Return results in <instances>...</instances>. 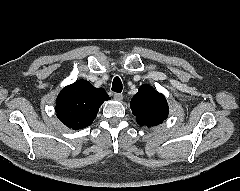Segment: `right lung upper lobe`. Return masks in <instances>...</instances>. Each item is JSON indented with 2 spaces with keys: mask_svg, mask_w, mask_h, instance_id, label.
<instances>
[{
  "mask_svg": "<svg viewBox=\"0 0 240 191\" xmlns=\"http://www.w3.org/2000/svg\"><path fill=\"white\" fill-rule=\"evenodd\" d=\"M110 99L103 88H95L86 80L66 86L56 100V113L67 127L78 130L92 124L101 104Z\"/></svg>",
  "mask_w": 240,
  "mask_h": 191,
  "instance_id": "right-lung-upper-lobe-1",
  "label": "right lung upper lobe"
}]
</instances>
